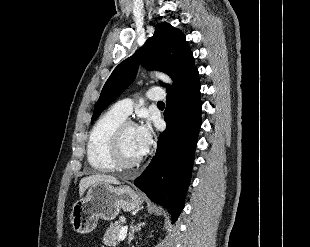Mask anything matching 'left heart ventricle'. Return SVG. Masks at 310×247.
Instances as JSON below:
<instances>
[{
  "instance_id": "obj_1",
  "label": "left heart ventricle",
  "mask_w": 310,
  "mask_h": 247,
  "mask_svg": "<svg viewBox=\"0 0 310 247\" xmlns=\"http://www.w3.org/2000/svg\"><path fill=\"white\" fill-rule=\"evenodd\" d=\"M123 155L127 161H134L142 157L137 138V127H128L123 138Z\"/></svg>"
}]
</instances>
